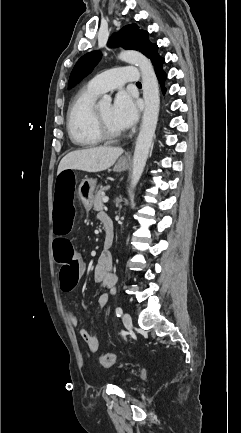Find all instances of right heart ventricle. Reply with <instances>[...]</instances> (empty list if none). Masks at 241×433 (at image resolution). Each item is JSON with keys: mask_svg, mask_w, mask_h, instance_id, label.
<instances>
[{"mask_svg": "<svg viewBox=\"0 0 241 433\" xmlns=\"http://www.w3.org/2000/svg\"><path fill=\"white\" fill-rule=\"evenodd\" d=\"M97 93L86 87L72 101L67 117V129L71 141L79 147H94L102 142L94 125V103Z\"/></svg>", "mask_w": 241, "mask_h": 433, "instance_id": "1", "label": "right heart ventricle"}]
</instances>
